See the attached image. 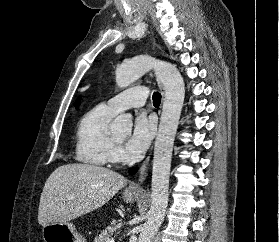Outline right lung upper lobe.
Returning <instances> with one entry per match:
<instances>
[{
	"instance_id": "obj_1",
	"label": "right lung upper lobe",
	"mask_w": 279,
	"mask_h": 242,
	"mask_svg": "<svg viewBox=\"0 0 279 242\" xmlns=\"http://www.w3.org/2000/svg\"><path fill=\"white\" fill-rule=\"evenodd\" d=\"M78 103H79V99L75 102V107L77 108V106H78Z\"/></svg>"
}]
</instances>
